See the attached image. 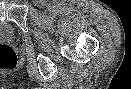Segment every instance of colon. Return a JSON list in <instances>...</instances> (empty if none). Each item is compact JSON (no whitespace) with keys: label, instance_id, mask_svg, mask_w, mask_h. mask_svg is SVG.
<instances>
[{"label":"colon","instance_id":"obj_1","mask_svg":"<svg viewBox=\"0 0 131 89\" xmlns=\"http://www.w3.org/2000/svg\"><path fill=\"white\" fill-rule=\"evenodd\" d=\"M17 67V55L8 45L0 44V69L14 70Z\"/></svg>","mask_w":131,"mask_h":89}]
</instances>
